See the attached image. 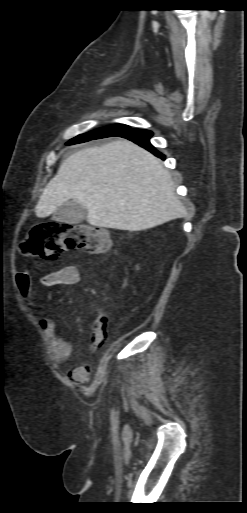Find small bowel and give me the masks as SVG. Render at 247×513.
<instances>
[{"label": "small bowel", "mask_w": 247, "mask_h": 513, "mask_svg": "<svg viewBox=\"0 0 247 513\" xmlns=\"http://www.w3.org/2000/svg\"><path fill=\"white\" fill-rule=\"evenodd\" d=\"M80 278V271L77 266L69 265L47 274L43 277L41 285L52 287L59 284H76L80 281ZM16 281L20 293L29 303L31 301V275L29 271H20L17 274ZM36 317L40 329L48 339L53 361L58 364L68 361L72 354L71 343L58 334L56 324L51 318L44 315H37ZM68 376L73 382L82 384L89 377V370L84 363H81L70 370Z\"/></svg>", "instance_id": "c3829d8e"}]
</instances>
